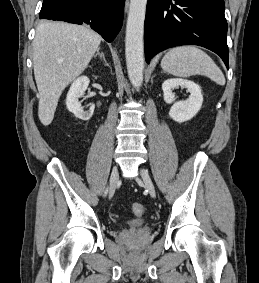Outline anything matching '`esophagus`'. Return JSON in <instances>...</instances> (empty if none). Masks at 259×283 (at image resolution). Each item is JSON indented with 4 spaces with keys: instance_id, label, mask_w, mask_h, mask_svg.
Listing matches in <instances>:
<instances>
[{
    "instance_id": "34e87169",
    "label": "esophagus",
    "mask_w": 259,
    "mask_h": 283,
    "mask_svg": "<svg viewBox=\"0 0 259 283\" xmlns=\"http://www.w3.org/2000/svg\"><path fill=\"white\" fill-rule=\"evenodd\" d=\"M128 7H129V0H126V1H125V10H127Z\"/></svg>"
}]
</instances>
